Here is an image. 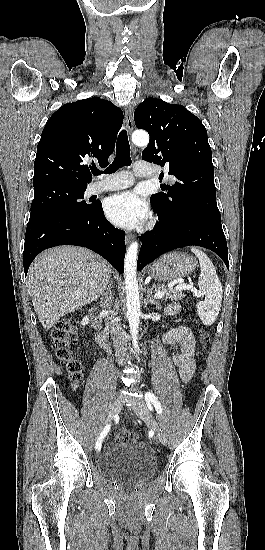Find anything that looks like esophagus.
<instances>
[{
    "instance_id": "34e87169",
    "label": "esophagus",
    "mask_w": 265,
    "mask_h": 550,
    "mask_svg": "<svg viewBox=\"0 0 265 550\" xmlns=\"http://www.w3.org/2000/svg\"><path fill=\"white\" fill-rule=\"evenodd\" d=\"M125 123H126V129L129 134L133 131V107L129 104L125 107ZM132 152L133 154L136 153V148L132 146ZM133 239V236L131 234H126V241L130 242Z\"/></svg>"
}]
</instances>
